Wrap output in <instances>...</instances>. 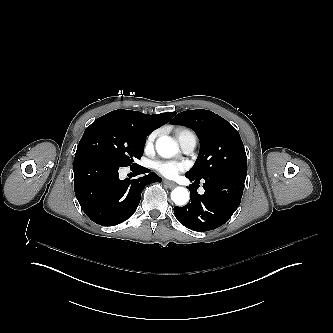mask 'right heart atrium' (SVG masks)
Segmentation results:
<instances>
[{"label": "right heart atrium", "mask_w": 333, "mask_h": 333, "mask_svg": "<svg viewBox=\"0 0 333 333\" xmlns=\"http://www.w3.org/2000/svg\"><path fill=\"white\" fill-rule=\"evenodd\" d=\"M152 142H153V137H149V138L147 139V144H148V145H151Z\"/></svg>", "instance_id": "1"}]
</instances>
